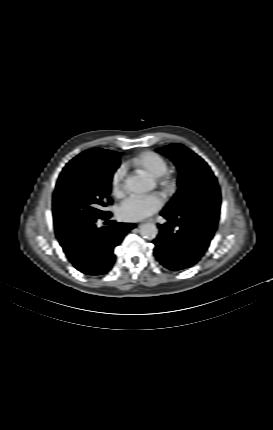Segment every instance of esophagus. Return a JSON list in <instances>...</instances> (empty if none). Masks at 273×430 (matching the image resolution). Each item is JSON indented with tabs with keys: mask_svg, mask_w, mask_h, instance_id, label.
<instances>
[{
	"mask_svg": "<svg viewBox=\"0 0 273 430\" xmlns=\"http://www.w3.org/2000/svg\"><path fill=\"white\" fill-rule=\"evenodd\" d=\"M147 222H149V223H153V220H148Z\"/></svg>",
	"mask_w": 273,
	"mask_h": 430,
	"instance_id": "34e87169",
	"label": "esophagus"
}]
</instances>
